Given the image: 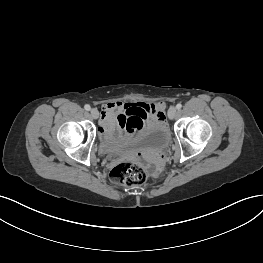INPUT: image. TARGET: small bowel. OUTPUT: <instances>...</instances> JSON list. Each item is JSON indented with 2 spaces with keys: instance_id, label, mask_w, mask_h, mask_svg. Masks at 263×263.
<instances>
[{
  "instance_id": "c3829d8e",
  "label": "small bowel",
  "mask_w": 263,
  "mask_h": 263,
  "mask_svg": "<svg viewBox=\"0 0 263 263\" xmlns=\"http://www.w3.org/2000/svg\"><path fill=\"white\" fill-rule=\"evenodd\" d=\"M164 104L144 102H109L103 105L100 134L106 141L128 140L134 138L149 122L159 117L163 120ZM165 163L164 154L158 151L155 154L150 175L156 178L160 168Z\"/></svg>"
}]
</instances>
